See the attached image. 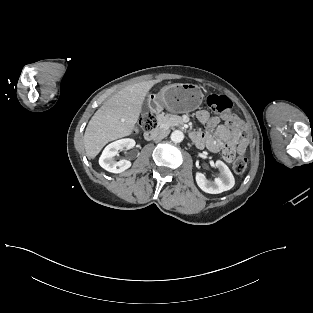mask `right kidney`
Listing matches in <instances>:
<instances>
[{
	"mask_svg": "<svg viewBox=\"0 0 313 313\" xmlns=\"http://www.w3.org/2000/svg\"><path fill=\"white\" fill-rule=\"evenodd\" d=\"M135 140L130 138L120 139L110 143L103 150L100 158L99 165L112 173H121L131 167V162L128 160L116 161L115 156L118 155L119 151L131 149L135 146Z\"/></svg>",
	"mask_w": 313,
	"mask_h": 313,
	"instance_id": "ca27d5eb",
	"label": "right kidney"
}]
</instances>
